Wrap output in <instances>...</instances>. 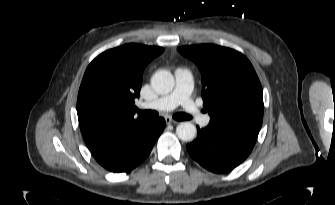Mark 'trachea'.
<instances>
[{
	"label": "trachea",
	"instance_id": "3493384b",
	"mask_svg": "<svg viewBox=\"0 0 335 205\" xmlns=\"http://www.w3.org/2000/svg\"><path fill=\"white\" fill-rule=\"evenodd\" d=\"M137 113L148 118H153L158 116V112L154 110H139L136 109ZM173 118L177 121L190 120L191 117L185 113H176L173 115Z\"/></svg>",
	"mask_w": 335,
	"mask_h": 205
}]
</instances>
